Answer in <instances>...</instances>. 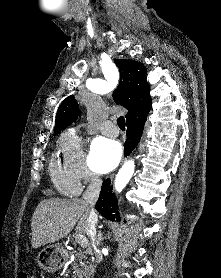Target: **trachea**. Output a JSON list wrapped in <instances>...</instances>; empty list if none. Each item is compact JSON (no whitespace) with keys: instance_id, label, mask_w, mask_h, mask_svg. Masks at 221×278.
I'll return each instance as SVG.
<instances>
[{"instance_id":"obj_1","label":"trachea","mask_w":221,"mask_h":278,"mask_svg":"<svg viewBox=\"0 0 221 278\" xmlns=\"http://www.w3.org/2000/svg\"><path fill=\"white\" fill-rule=\"evenodd\" d=\"M117 124L119 126V128L121 130H125V119L123 116H120L118 119H117Z\"/></svg>"}]
</instances>
